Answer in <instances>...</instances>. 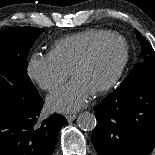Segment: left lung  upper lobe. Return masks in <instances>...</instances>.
I'll return each instance as SVG.
<instances>
[{"instance_id": "1", "label": "left lung upper lobe", "mask_w": 155, "mask_h": 155, "mask_svg": "<svg viewBox=\"0 0 155 155\" xmlns=\"http://www.w3.org/2000/svg\"><path fill=\"white\" fill-rule=\"evenodd\" d=\"M136 37L141 43V62L134 65L129 75L124 79L120 86L129 85L150 73L155 72V51L149 42L135 29Z\"/></svg>"}]
</instances>
